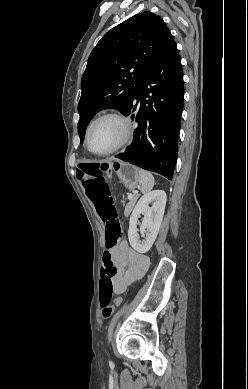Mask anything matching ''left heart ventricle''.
Segmentation results:
<instances>
[{
    "label": "left heart ventricle",
    "instance_id": "left-heart-ventricle-1",
    "mask_svg": "<svg viewBox=\"0 0 248 389\" xmlns=\"http://www.w3.org/2000/svg\"><path fill=\"white\" fill-rule=\"evenodd\" d=\"M123 129L114 119H104L91 130L90 146L94 151H105L114 146L122 137Z\"/></svg>",
    "mask_w": 248,
    "mask_h": 389
}]
</instances>
